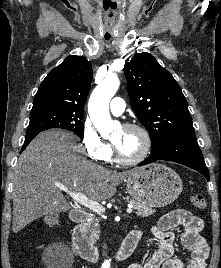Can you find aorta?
<instances>
[{"instance_id":"1","label":"aorta","mask_w":221,"mask_h":268,"mask_svg":"<svg viewBox=\"0 0 221 268\" xmlns=\"http://www.w3.org/2000/svg\"><path fill=\"white\" fill-rule=\"evenodd\" d=\"M119 86L120 81L117 76H108L94 89L89 99V116L100 135L104 138H108L114 127H116V122L112 121L109 114V102Z\"/></svg>"}]
</instances>
